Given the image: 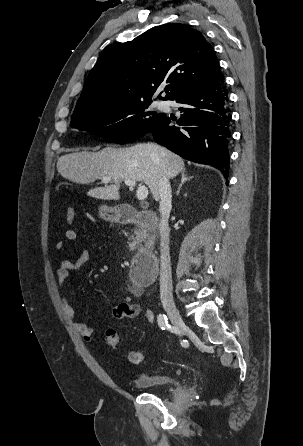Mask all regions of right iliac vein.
<instances>
[{"instance_id": "63e3f726", "label": "right iliac vein", "mask_w": 303, "mask_h": 446, "mask_svg": "<svg viewBox=\"0 0 303 446\" xmlns=\"http://www.w3.org/2000/svg\"><path fill=\"white\" fill-rule=\"evenodd\" d=\"M164 309L167 312L174 328L178 331V333H182L186 329V325L175 304L171 302L165 303Z\"/></svg>"}]
</instances>
